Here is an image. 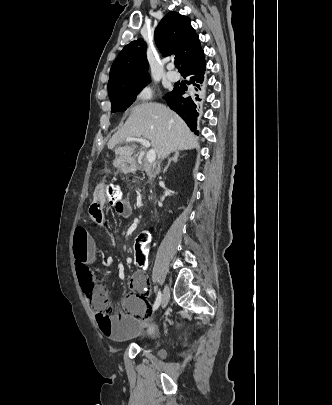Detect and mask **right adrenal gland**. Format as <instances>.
I'll return each instance as SVG.
<instances>
[{"label": "right adrenal gland", "instance_id": "obj_1", "mask_svg": "<svg viewBox=\"0 0 332 405\" xmlns=\"http://www.w3.org/2000/svg\"><path fill=\"white\" fill-rule=\"evenodd\" d=\"M179 155H180L179 152H178V151H175L173 157L168 160V164H167V166H166V167L164 168V170H163L164 173L167 171V169H168V167L170 166V164H171L172 161H174V162H177V161H178Z\"/></svg>", "mask_w": 332, "mask_h": 405}]
</instances>
